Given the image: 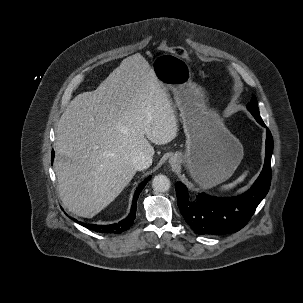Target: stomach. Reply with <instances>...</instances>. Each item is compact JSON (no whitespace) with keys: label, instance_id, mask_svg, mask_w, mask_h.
Returning <instances> with one entry per match:
<instances>
[{"label":"stomach","instance_id":"stomach-1","mask_svg":"<svg viewBox=\"0 0 303 303\" xmlns=\"http://www.w3.org/2000/svg\"><path fill=\"white\" fill-rule=\"evenodd\" d=\"M152 70L163 89L172 92L186 135L185 152L175 153L171 165L184 164L204 189L229 179L243 158V146L217 112L207 107L205 92L192 82L188 63L176 55L163 54L154 60Z\"/></svg>","mask_w":303,"mask_h":303}]
</instances>
